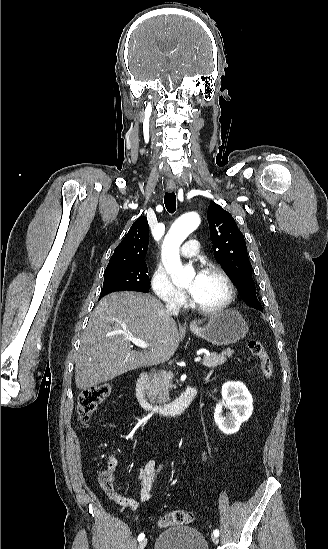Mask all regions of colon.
<instances>
[{
	"mask_svg": "<svg viewBox=\"0 0 328 549\" xmlns=\"http://www.w3.org/2000/svg\"><path fill=\"white\" fill-rule=\"evenodd\" d=\"M250 353L260 361L261 372L264 378L270 379L274 374V365L268 355L264 345L256 340L248 343ZM112 392L111 383H101L84 389L79 397L77 412L82 423H87L98 405L103 402ZM99 484L104 492L109 496L113 489V482L107 471H102L98 478ZM193 521V514L189 511L174 510L165 514L159 520V526L162 528L176 525H185Z\"/></svg>",
	"mask_w": 328,
	"mask_h": 549,
	"instance_id": "obj_1",
	"label": "colon"
}]
</instances>
